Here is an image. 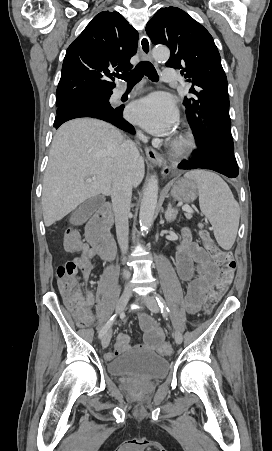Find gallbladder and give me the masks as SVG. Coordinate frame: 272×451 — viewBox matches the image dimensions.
<instances>
[{"label": "gallbladder", "mask_w": 272, "mask_h": 451, "mask_svg": "<svg viewBox=\"0 0 272 451\" xmlns=\"http://www.w3.org/2000/svg\"><path fill=\"white\" fill-rule=\"evenodd\" d=\"M93 200H87L85 204H82L76 212H73L70 222L71 224H83V222H86L92 214H94L95 210H97L98 206H91Z\"/></svg>", "instance_id": "obj_1"}]
</instances>
